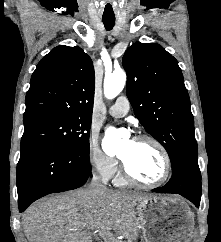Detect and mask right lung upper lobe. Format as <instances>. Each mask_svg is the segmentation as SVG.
<instances>
[{
	"instance_id": "1",
	"label": "right lung upper lobe",
	"mask_w": 221,
	"mask_h": 242,
	"mask_svg": "<svg viewBox=\"0 0 221 242\" xmlns=\"http://www.w3.org/2000/svg\"><path fill=\"white\" fill-rule=\"evenodd\" d=\"M94 87L93 62L81 48H53L32 74L24 126L47 119L92 117Z\"/></svg>"
}]
</instances>
